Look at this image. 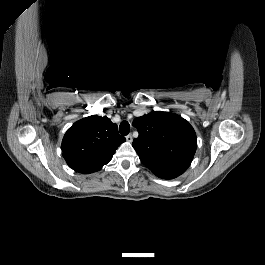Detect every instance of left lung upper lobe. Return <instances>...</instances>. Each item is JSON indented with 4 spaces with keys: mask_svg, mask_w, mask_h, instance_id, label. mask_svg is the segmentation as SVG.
Wrapping results in <instances>:
<instances>
[{
    "mask_svg": "<svg viewBox=\"0 0 265 265\" xmlns=\"http://www.w3.org/2000/svg\"><path fill=\"white\" fill-rule=\"evenodd\" d=\"M133 126L139 137L132 145L149 169L192 162L197 148L196 134L181 116L155 111L135 118Z\"/></svg>",
    "mask_w": 265,
    "mask_h": 265,
    "instance_id": "5c2ea615",
    "label": "left lung upper lobe"
}]
</instances>
